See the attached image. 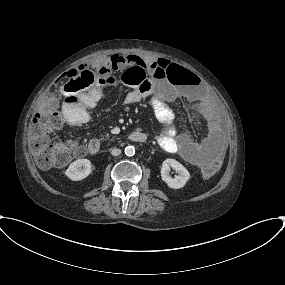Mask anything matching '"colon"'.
<instances>
[{
	"mask_svg": "<svg viewBox=\"0 0 285 285\" xmlns=\"http://www.w3.org/2000/svg\"><path fill=\"white\" fill-rule=\"evenodd\" d=\"M124 58L111 55L106 59L99 60L97 65L89 61L77 68L66 72L60 82L64 83L61 92L81 90L92 84L96 79L114 78L119 83L138 91L148 88L149 78L146 73V63L138 60L136 64L124 66ZM154 67H159L162 73L174 82H183L187 72L176 68L167 60H156ZM119 73V76L116 75ZM59 101L55 93L49 94L42 102L40 110L34 115L29 126L28 142L30 151L36 165L41 169L62 167L67 165L73 158L84 153L85 148L81 144L55 142L51 134L59 130L64 119L59 112ZM91 109L89 108V113ZM84 120L81 118L80 122ZM222 165V158L218 157L212 164L202 169V176L210 178L216 174Z\"/></svg>",
	"mask_w": 285,
	"mask_h": 285,
	"instance_id": "1",
	"label": "colon"
}]
</instances>
